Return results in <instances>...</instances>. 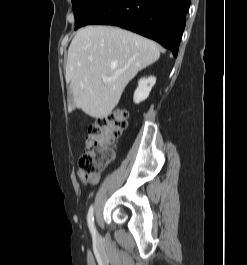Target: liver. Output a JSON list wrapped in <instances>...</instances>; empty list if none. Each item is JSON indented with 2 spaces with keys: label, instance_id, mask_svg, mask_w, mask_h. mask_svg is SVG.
I'll use <instances>...</instances> for the list:
<instances>
[{
  "label": "liver",
  "instance_id": "obj_1",
  "mask_svg": "<svg viewBox=\"0 0 247 265\" xmlns=\"http://www.w3.org/2000/svg\"><path fill=\"white\" fill-rule=\"evenodd\" d=\"M159 57L155 42L130 31L102 25L80 29L69 46L65 73L71 108L96 119L106 117L129 81Z\"/></svg>",
  "mask_w": 247,
  "mask_h": 265
}]
</instances>
